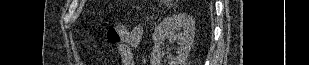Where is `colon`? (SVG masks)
<instances>
[{
	"label": "colon",
	"instance_id": "1",
	"mask_svg": "<svg viewBox=\"0 0 309 65\" xmlns=\"http://www.w3.org/2000/svg\"><path fill=\"white\" fill-rule=\"evenodd\" d=\"M126 33V26L121 23H116L107 29L106 36L109 42L118 43L125 38Z\"/></svg>",
	"mask_w": 309,
	"mask_h": 65
}]
</instances>
